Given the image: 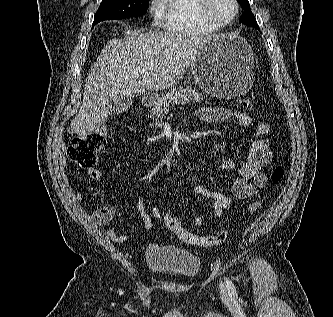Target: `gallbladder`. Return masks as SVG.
Returning a JSON list of instances; mask_svg holds the SVG:
<instances>
[{"label": "gallbladder", "mask_w": 333, "mask_h": 317, "mask_svg": "<svg viewBox=\"0 0 333 317\" xmlns=\"http://www.w3.org/2000/svg\"><path fill=\"white\" fill-rule=\"evenodd\" d=\"M133 99L125 96H115L108 102V109L112 114L126 112L132 105Z\"/></svg>", "instance_id": "gallbladder-1"}]
</instances>
